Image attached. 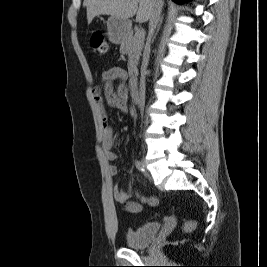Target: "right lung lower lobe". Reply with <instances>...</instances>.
I'll list each match as a JSON object with an SVG mask.
<instances>
[{
	"label": "right lung lower lobe",
	"mask_w": 267,
	"mask_h": 267,
	"mask_svg": "<svg viewBox=\"0 0 267 267\" xmlns=\"http://www.w3.org/2000/svg\"><path fill=\"white\" fill-rule=\"evenodd\" d=\"M176 3H183V2H187L188 0H173Z\"/></svg>",
	"instance_id": "1"
}]
</instances>
